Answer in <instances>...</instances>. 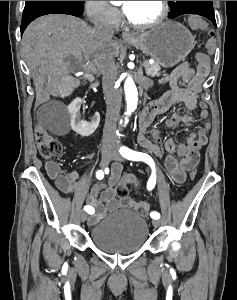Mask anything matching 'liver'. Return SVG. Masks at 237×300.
<instances>
[{"instance_id":"1","label":"liver","mask_w":237,"mask_h":300,"mask_svg":"<svg viewBox=\"0 0 237 300\" xmlns=\"http://www.w3.org/2000/svg\"><path fill=\"white\" fill-rule=\"evenodd\" d=\"M22 53L26 59L35 85L37 101L43 93L53 95L60 76L68 75L70 67L76 71H91L92 65L79 63L91 61L99 75L103 65V49L94 29L71 15H45L28 25L22 37ZM108 49L119 57L120 45L110 41ZM79 85V81H75Z\"/></svg>"}]
</instances>
